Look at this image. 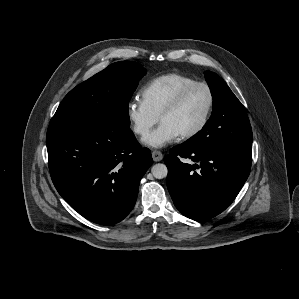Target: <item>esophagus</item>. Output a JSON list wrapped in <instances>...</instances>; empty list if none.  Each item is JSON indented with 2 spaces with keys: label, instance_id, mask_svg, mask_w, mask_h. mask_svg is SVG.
<instances>
[{
  "label": "esophagus",
  "instance_id": "34e87169",
  "mask_svg": "<svg viewBox=\"0 0 299 299\" xmlns=\"http://www.w3.org/2000/svg\"><path fill=\"white\" fill-rule=\"evenodd\" d=\"M152 158L155 162H159L163 159V154L160 151H152Z\"/></svg>",
  "mask_w": 299,
  "mask_h": 299
}]
</instances>
